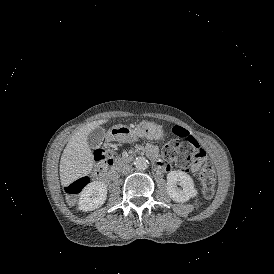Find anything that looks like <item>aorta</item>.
<instances>
[{"mask_svg":"<svg viewBox=\"0 0 274 274\" xmlns=\"http://www.w3.org/2000/svg\"><path fill=\"white\" fill-rule=\"evenodd\" d=\"M133 164L138 169H146L148 167L149 162L145 157H137L134 160Z\"/></svg>","mask_w":274,"mask_h":274,"instance_id":"1","label":"aorta"}]
</instances>
